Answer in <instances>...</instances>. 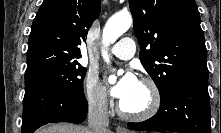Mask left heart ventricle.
I'll use <instances>...</instances> for the list:
<instances>
[{
	"label": "left heart ventricle",
	"mask_w": 221,
	"mask_h": 133,
	"mask_svg": "<svg viewBox=\"0 0 221 133\" xmlns=\"http://www.w3.org/2000/svg\"><path fill=\"white\" fill-rule=\"evenodd\" d=\"M150 101V94L146 86L139 84L134 94L127 100L123 101V107L130 112H138L145 109Z\"/></svg>",
	"instance_id": "b2bd125f"
}]
</instances>
